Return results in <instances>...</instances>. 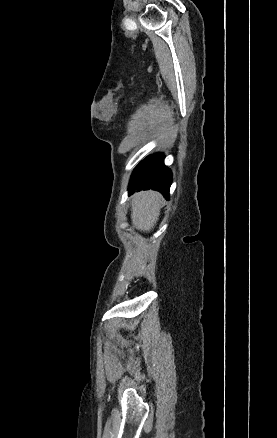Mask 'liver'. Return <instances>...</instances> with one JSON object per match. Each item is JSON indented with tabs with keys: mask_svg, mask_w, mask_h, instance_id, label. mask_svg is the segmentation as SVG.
I'll use <instances>...</instances> for the list:
<instances>
[{
	"mask_svg": "<svg viewBox=\"0 0 277 438\" xmlns=\"http://www.w3.org/2000/svg\"><path fill=\"white\" fill-rule=\"evenodd\" d=\"M161 194L158 192H138L131 204V220L140 232H150L160 216Z\"/></svg>",
	"mask_w": 277,
	"mask_h": 438,
	"instance_id": "obj_1",
	"label": "liver"
}]
</instances>
